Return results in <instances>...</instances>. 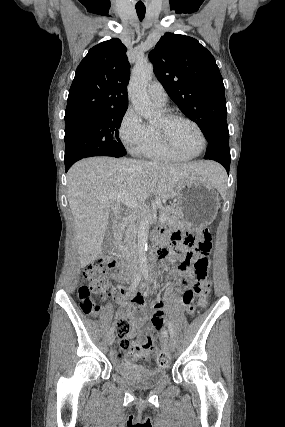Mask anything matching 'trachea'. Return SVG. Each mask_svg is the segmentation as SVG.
Instances as JSON below:
<instances>
[{"instance_id": "obj_1", "label": "trachea", "mask_w": 285, "mask_h": 427, "mask_svg": "<svg viewBox=\"0 0 285 427\" xmlns=\"http://www.w3.org/2000/svg\"><path fill=\"white\" fill-rule=\"evenodd\" d=\"M136 12L140 20H143L145 17L146 8L145 7H136Z\"/></svg>"}]
</instances>
